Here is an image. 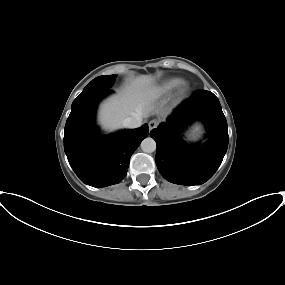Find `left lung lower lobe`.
Returning <instances> with one entry per match:
<instances>
[{
	"mask_svg": "<svg viewBox=\"0 0 285 285\" xmlns=\"http://www.w3.org/2000/svg\"><path fill=\"white\" fill-rule=\"evenodd\" d=\"M202 119L208 130L206 147L187 144L181 137L192 121ZM156 141L155 161L161 175L180 185H200L220 166L228 147V129L218 98L209 91H197L150 132Z\"/></svg>",
	"mask_w": 285,
	"mask_h": 285,
	"instance_id": "obj_1",
	"label": "left lung lower lobe"
}]
</instances>
